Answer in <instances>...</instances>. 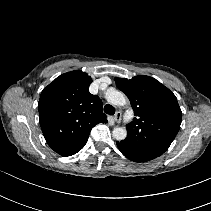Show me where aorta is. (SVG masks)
Listing matches in <instances>:
<instances>
[{
    "instance_id": "obj_1",
    "label": "aorta",
    "mask_w": 211,
    "mask_h": 211,
    "mask_svg": "<svg viewBox=\"0 0 211 211\" xmlns=\"http://www.w3.org/2000/svg\"><path fill=\"white\" fill-rule=\"evenodd\" d=\"M106 99L110 104L116 106H124L128 103L126 96L121 91L114 89L107 91ZM132 118H133V113L129 112L126 116L127 121L131 120ZM112 135L114 139L121 141L127 137V130L125 127H116L113 129Z\"/></svg>"
}]
</instances>
